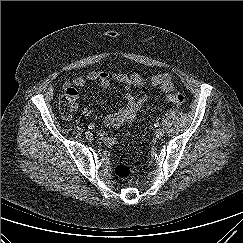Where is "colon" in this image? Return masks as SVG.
Listing matches in <instances>:
<instances>
[{
  "instance_id": "5ec220e1",
  "label": "colon",
  "mask_w": 243,
  "mask_h": 243,
  "mask_svg": "<svg viewBox=\"0 0 243 243\" xmlns=\"http://www.w3.org/2000/svg\"><path fill=\"white\" fill-rule=\"evenodd\" d=\"M165 99L176 106H181L186 101L185 96L179 92L169 93L165 96ZM59 105L62 117L69 119L75 111V98L70 90H65L61 93ZM114 174L120 180H127L132 177L133 170L127 164H118L114 168Z\"/></svg>"
}]
</instances>
